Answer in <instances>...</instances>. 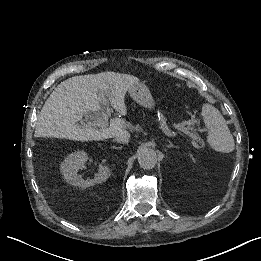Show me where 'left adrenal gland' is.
Wrapping results in <instances>:
<instances>
[{
	"label": "left adrenal gland",
	"mask_w": 261,
	"mask_h": 261,
	"mask_svg": "<svg viewBox=\"0 0 261 261\" xmlns=\"http://www.w3.org/2000/svg\"><path fill=\"white\" fill-rule=\"evenodd\" d=\"M169 142H170V145L168 146V148L176 149V147L171 143V141H169Z\"/></svg>",
	"instance_id": "a2214340"
}]
</instances>
